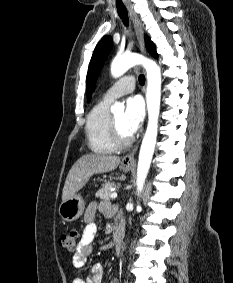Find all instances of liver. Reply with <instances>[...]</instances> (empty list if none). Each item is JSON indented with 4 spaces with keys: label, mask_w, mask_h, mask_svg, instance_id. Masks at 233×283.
<instances>
[{
    "label": "liver",
    "mask_w": 233,
    "mask_h": 283,
    "mask_svg": "<svg viewBox=\"0 0 233 283\" xmlns=\"http://www.w3.org/2000/svg\"><path fill=\"white\" fill-rule=\"evenodd\" d=\"M120 163L119 156L85 154L71 167L62 192V202L74 196L94 174L115 170Z\"/></svg>",
    "instance_id": "obj_1"
}]
</instances>
